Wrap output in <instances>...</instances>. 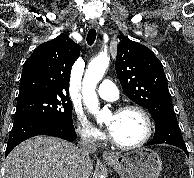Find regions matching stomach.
I'll return each instance as SVG.
<instances>
[{
  "label": "stomach",
  "instance_id": "obj_1",
  "mask_svg": "<svg viewBox=\"0 0 194 178\" xmlns=\"http://www.w3.org/2000/svg\"><path fill=\"white\" fill-rule=\"evenodd\" d=\"M121 178H159L162 161L151 149L142 148L125 154H115L105 159Z\"/></svg>",
  "mask_w": 194,
  "mask_h": 178
}]
</instances>
